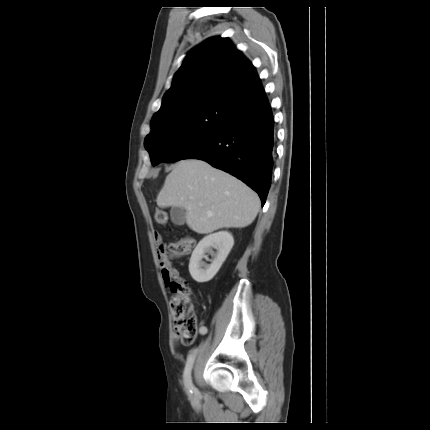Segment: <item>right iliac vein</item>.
<instances>
[{
  "instance_id": "right-iliac-vein-1",
  "label": "right iliac vein",
  "mask_w": 430,
  "mask_h": 430,
  "mask_svg": "<svg viewBox=\"0 0 430 430\" xmlns=\"http://www.w3.org/2000/svg\"><path fill=\"white\" fill-rule=\"evenodd\" d=\"M201 346L198 348L197 353H199L201 351ZM192 396H196V391L194 390V394Z\"/></svg>"
}]
</instances>
